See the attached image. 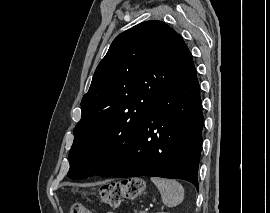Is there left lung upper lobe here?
Returning a JSON list of instances; mask_svg holds the SVG:
<instances>
[{
    "mask_svg": "<svg viewBox=\"0 0 270 213\" xmlns=\"http://www.w3.org/2000/svg\"><path fill=\"white\" fill-rule=\"evenodd\" d=\"M193 64L182 37L162 21L119 34L82 98L67 176H91L93 165L129 139L176 76Z\"/></svg>",
    "mask_w": 270,
    "mask_h": 213,
    "instance_id": "5c2ea615",
    "label": "left lung upper lobe"
}]
</instances>
